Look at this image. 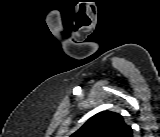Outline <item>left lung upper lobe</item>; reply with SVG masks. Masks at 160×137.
Returning a JSON list of instances; mask_svg holds the SVG:
<instances>
[{"mask_svg": "<svg viewBox=\"0 0 160 137\" xmlns=\"http://www.w3.org/2000/svg\"><path fill=\"white\" fill-rule=\"evenodd\" d=\"M132 134V128L120 114L102 111L91 117L71 137H132Z\"/></svg>", "mask_w": 160, "mask_h": 137, "instance_id": "obj_1", "label": "left lung upper lobe"}]
</instances>
